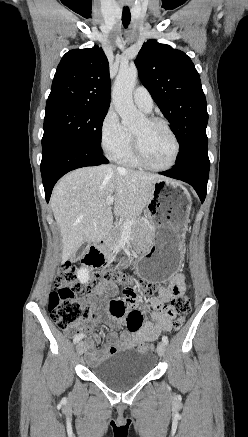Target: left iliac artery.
<instances>
[{
  "mask_svg": "<svg viewBox=\"0 0 248 437\" xmlns=\"http://www.w3.org/2000/svg\"><path fill=\"white\" fill-rule=\"evenodd\" d=\"M162 341L167 345L168 344V342H169V340H168V337L167 336H162Z\"/></svg>",
  "mask_w": 248,
  "mask_h": 437,
  "instance_id": "1",
  "label": "left iliac artery"
}]
</instances>
